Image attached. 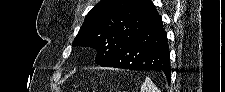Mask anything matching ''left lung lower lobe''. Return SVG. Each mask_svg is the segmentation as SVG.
Returning <instances> with one entry per match:
<instances>
[{"label": "left lung lower lobe", "instance_id": "obj_1", "mask_svg": "<svg viewBox=\"0 0 225 92\" xmlns=\"http://www.w3.org/2000/svg\"><path fill=\"white\" fill-rule=\"evenodd\" d=\"M169 55L167 34L163 28L162 18L157 14L100 66L163 71L168 83H170Z\"/></svg>", "mask_w": 225, "mask_h": 92}]
</instances>
